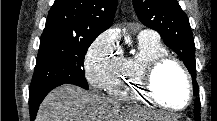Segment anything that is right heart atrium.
I'll return each instance as SVG.
<instances>
[{
	"instance_id": "1",
	"label": "right heart atrium",
	"mask_w": 217,
	"mask_h": 121,
	"mask_svg": "<svg viewBox=\"0 0 217 121\" xmlns=\"http://www.w3.org/2000/svg\"><path fill=\"white\" fill-rule=\"evenodd\" d=\"M122 61L119 43L110 31L101 33L85 57V75L94 88H105Z\"/></svg>"
}]
</instances>
